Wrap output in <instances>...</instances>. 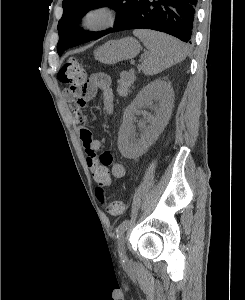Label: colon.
Returning a JSON list of instances; mask_svg holds the SVG:
<instances>
[{
  "label": "colon",
  "instance_id": "1",
  "mask_svg": "<svg viewBox=\"0 0 245 300\" xmlns=\"http://www.w3.org/2000/svg\"><path fill=\"white\" fill-rule=\"evenodd\" d=\"M58 80L67 85L64 90L65 98L73 102L80 94L86 81V72L75 58H70L58 71ZM104 188H97V196L104 201ZM106 210L111 215H121L125 210L122 200H115L106 205Z\"/></svg>",
  "mask_w": 245,
  "mask_h": 300
}]
</instances>
